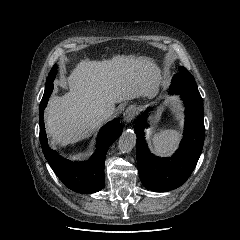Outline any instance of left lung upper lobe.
I'll return each instance as SVG.
<instances>
[{
	"label": "left lung upper lobe",
	"instance_id": "obj_1",
	"mask_svg": "<svg viewBox=\"0 0 240 240\" xmlns=\"http://www.w3.org/2000/svg\"><path fill=\"white\" fill-rule=\"evenodd\" d=\"M178 74L181 75V76H184L186 78L194 79L193 76L189 73V71L183 66L179 67V73Z\"/></svg>",
	"mask_w": 240,
	"mask_h": 240
}]
</instances>
